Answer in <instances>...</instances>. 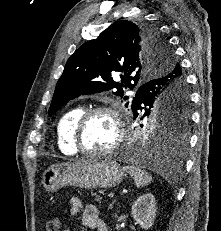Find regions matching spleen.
<instances>
[{
  "mask_svg": "<svg viewBox=\"0 0 221 231\" xmlns=\"http://www.w3.org/2000/svg\"><path fill=\"white\" fill-rule=\"evenodd\" d=\"M123 170L127 172L134 179L135 185L138 188L147 186L153 181V178L149 173L140 169L137 166L134 165L124 166Z\"/></svg>",
  "mask_w": 221,
  "mask_h": 231,
  "instance_id": "1",
  "label": "spleen"
}]
</instances>
